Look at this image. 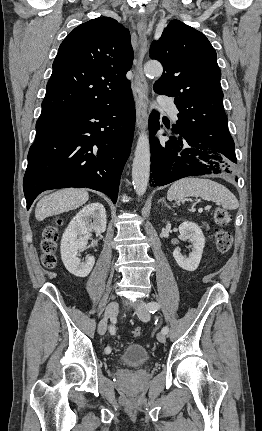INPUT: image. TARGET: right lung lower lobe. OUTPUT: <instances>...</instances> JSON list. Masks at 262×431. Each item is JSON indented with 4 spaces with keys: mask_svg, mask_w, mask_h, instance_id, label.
I'll return each mask as SVG.
<instances>
[{
    "mask_svg": "<svg viewBox=\"0 0 262 431\" xmlns=\"http://www.w3.org/2000/svg\"><path fill=\"white\" fill-rule=\"evenodd\" d=\"M134 124L131 91L100 109L41 113L23 180L27 209L41 192L67 187L98 190L116 203Z\"/></svg>",
    "mask_w": 262,
    "mask_h": 431,
    "instance_id": "1",
    "label": "right lung lower lobe"
}]
</instances>
